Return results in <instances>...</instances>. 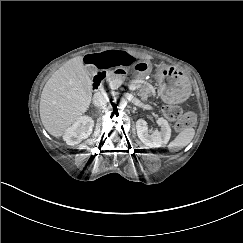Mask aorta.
I'll return each mask as SVG.
<instances>
[{
    "label": "aorta",
    "mask_w": 243,
    "mask_h": 243,
    "mask_svg": "<svg viewBox=\"0 0 243 243\" xmlns=\"http://www.w3.org/2000/svg\"><path fill=\"white\" fill-rule=\"evenodd\" d=\"M113 105L118 109H123L127 105V100L123 95H116L113 98Z\"/></svg>",
    "instance_id": "762f6f07"
}]
</instances>
